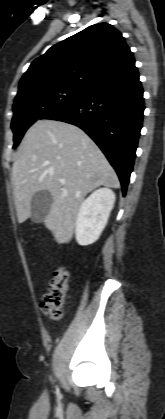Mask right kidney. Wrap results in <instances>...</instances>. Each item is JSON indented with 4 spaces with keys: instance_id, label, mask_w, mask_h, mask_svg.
I'll return each instance as SVG.
<instances>
[{
    "instance_id": "obj_1",
    "label": "right kidney",
    "mask_w": 165,
    "mask_h": 419,
    "mask_svg": "<svg viewBox=\"0 0 165 419\" xmlns=\"http://www.w3.org/2000/svg\"><path fill=\"white\" fill-rule=\"evenodd\" d=\"M115 203V194L109 188L95 190L86 198L78 211L75 235L81 246L98 240L104 230Z\"/></svg>"
}]
</instances>
